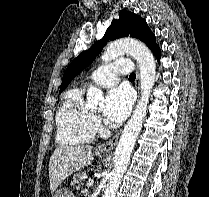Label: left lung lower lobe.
I'll return each mask as SVG.
<instances>
[{
    "label": "left lung lower lobe",
    "instance_id": "1",
    "mask_svg": "<svg viewBox=\"0 0 209 197\" xmlns=\"http://www.w3.org/2000/svg\"><path fill=\"white\" fill-rule=\"evenodd\" d=\"M152 51L155 53V55L157 57V60L159 62V60H160V48H159V46L157 45Z\"/></svg>",
    "mask_w": 209,
    "mask_h": 197
}]
</instances>
